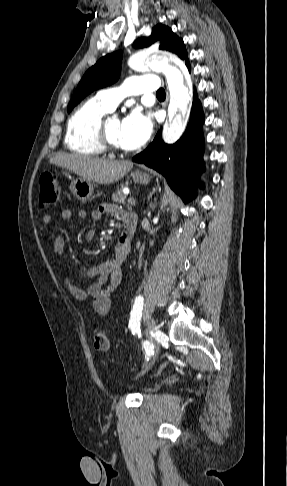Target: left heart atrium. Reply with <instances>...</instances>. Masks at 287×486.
Masks as SVG:
<instances>
[{"mask_svg":"<svg viewBox=\"0 0 287 486\" xmlns=\"http://www.w3.org/2000/svg\"><path fill=\"white\" fill-rule=\"evenodd\" d=\"M152 132L150 116L133 111L121 122L122 145L125 149H136L149 139Z\"/></svg>","mask_w":287,"mask_h":486,"instance_id":"obj_1","label":"left heart atrium"}]
</instances>
